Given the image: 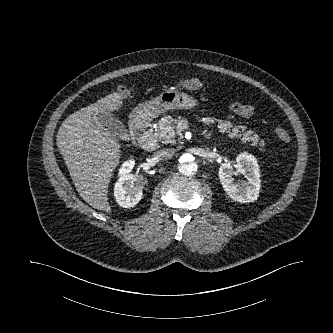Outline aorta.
<instances>
[{"instance_id":"1","label":"aorta","mask_w":333,"mask_h":333,"mask_svg":"<svg viewBox=\"0 0 333 333\" xmlns=\"http://www.w3.org/2000/svg\"><path fill=\"white\" fill-rule=\"evenodd\" d=\"M178 169L183 175H194L198 170L195 157L190 153H181L179 157Z\"/></svg>"}]
</instances>
